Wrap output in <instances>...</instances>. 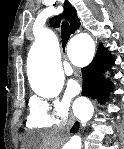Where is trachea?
I'll return each instance as SVG.
<instances>
[{"mask_svg": "<svg viewBox=\"0 0 124 149\" xmlns=\"http://www.w3.org/2000/svg\"><path fill=\"white\" fill-rule=\"evenodd\" d=\"M61 32H62V35H61V38H62V42L66 43L68 41V39L70 38V35H71V29H70V26L69 24L64 21L62 23V26H61Z\"/></svg>", "mask_w": 124, "mask_h": 149, "instance_id": "obj_1", "label": "trachea"}]
</instances>
